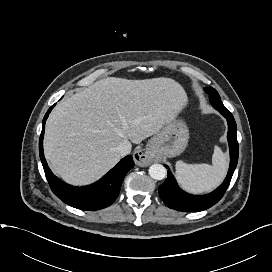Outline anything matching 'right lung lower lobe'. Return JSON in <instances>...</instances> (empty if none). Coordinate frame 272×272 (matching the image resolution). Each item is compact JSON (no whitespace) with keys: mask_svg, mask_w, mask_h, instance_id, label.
Returning <instances> with one entry per match:
<instances>
[{"mask_svg":"<svg viewBox=\"0 0 272 272\" xmlns=\"http://www.w3.org/2000/svg\"><path fill=\"white\" fill-rule=\"evenodd\" d=\"M51 106L44 119L39 140V155L44 172L53 193L64 203L81 210H99L110 206L118 197L120 187L127 172L134 167L131 155L123 158L114 168L96 183L85 187H74L58 179L49 169L43 153L45 121L51 112Z\"/></svg>","mask_w":272,"mask_h":272,"instance_id":"98d812e1","label":"right lung lower lobe"}]
</instances>
